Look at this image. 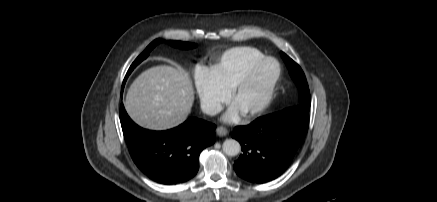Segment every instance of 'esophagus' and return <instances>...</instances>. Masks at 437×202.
I'll list each match as a JSON object with an SVG mask.
<instances>
[{
    "label": "esophagus",
    "instance_id": "esophagus-1",
    "mask_svg": "<svg viewBox=\"0 0 437 202\" xmlns=\"http://www.w3.org/2000/svg\"><path fill=\"white\" fill-rule=\"evenodd\" d=\"M216 133L218 136L224 137L228 134V130L225 127L220 126L216 129Z\"/></svg>",
    "mask_w": 437,
    "mask_h": 202
}]
</instances>
